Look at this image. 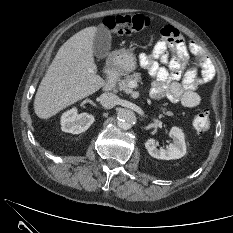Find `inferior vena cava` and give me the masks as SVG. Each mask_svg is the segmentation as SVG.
<instances>
[{
  "mask_svg": "<svg viewBox=\"0 0 233 233\" xmlns=\"http://www.w3.org/2000/svg\"><path fill=\"white\" fill-rule=\"evenodd\" d=\"M100 103L106 109H111L118 103V97L113 93H103L100 96Z\"/></svg>",
  "mask_w": 233,
  "mask_h": 233,
  "instance_id": "1",
  "label": "inferior vena cava"
}]
</instances>
